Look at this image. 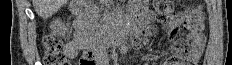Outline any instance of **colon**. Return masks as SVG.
Listing matches in <instances>:
<instances>
[{
    "label": "colon",
    "mask_w": 232,
    "mask_h": 65,
    "mask_svg": "<svg viewBox=\"0 0 232 65\" xmlns=\"http://www.w3.org/2000/svg\"><path fill=\"white\" fill-rule=\"evenodd\" d=\"M154 9L163 24H168L174 17L173 4L170 0H155ZM188 29L190 33L199 30L202 26L203 12L200 6H192L186 12ZM189 39H191L189 37ZM64 39L51 33L45 36L43 44L45 47V65H67L65 53L62 51ZM175 59L185 62L191 53V45L186 40H177L173 44ZM81 65H94V55L90 51L83 52Z\"/></svg>",
    "instance_id": "1"
}]
</instances>
